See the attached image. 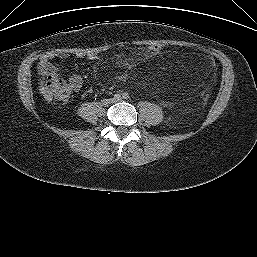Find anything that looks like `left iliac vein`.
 Segmentation results:
<instances>
[{
  "label": "left iliac vein",
  "instance_id": "left-iliac-vein-1",
  "mask_svg": "<svg viewBox=\"0 0 257 257\" xmlns=\"http://www.w3.org/2000/svg\"><path fill=\"white\" fill-rule=\"evenodd\" d=\"M122 99L121 98H119V99H116L115 100V102H120Z\"/></svg>",
  "mask_w": 257,
  "mask_h": 257
}]
</instances>
